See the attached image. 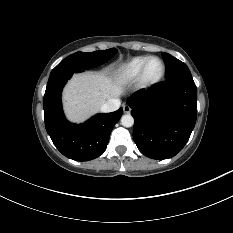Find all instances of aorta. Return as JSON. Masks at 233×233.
I'll return each mask as SVG.
<instances>
[{"mask_svg":"<svg viewBox=\"0 0 233 233\" xmlns=\"http://www.w3.org/2000/svg\"><path fill=\"white\" fill-rule=\"evenodd\" d=\"M121 124L124 127H131L134 124V119L130 114L123 115L121 117Z\"/></svg>","mask_w":233,"mask_h":233,"instance_id":"aorta-1","label":"aorta"}]
</instances>
